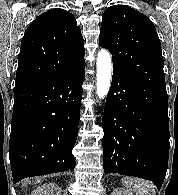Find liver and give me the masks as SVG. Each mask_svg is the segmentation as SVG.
Listing matches in <instances>:
<instances>
[{"instance_id":"liver-1","label":"liver","mask_w":178,"mask_h":195,"mask_svg":"<svg viewBox=\"0 0 178 195\" xmlns=\"http://www.w3.org/2000/svg\"><path fill=\"white\" fill-rule=\"evenodd\" d=\"M40 182V179H37L35 183H39ZM31 181L29 180H26L24 183H22L23 186L27 185V184H30Z\"/></svg>"}]
</instances>
